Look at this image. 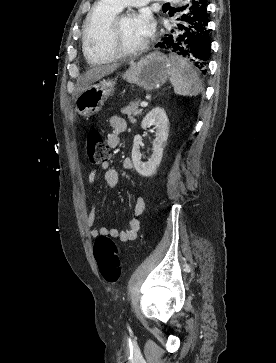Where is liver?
<instances>
[{
	"label": "liver",
	"mask_w": 276,
	"mask_h": 363,
	"mask_svg": "<svg viewBox=\"0 0 276 363\" xmlns=\"http://www.w3.org/2000/svg\"><path fill=\"white\" fill-rule=\"evenodd\" d=\"M118 67L119 64L114 63L111 65L96 66L89 69L82 78L81 86L79 88V94L86 90L92 83L113 73Z\"/></svg>",
	"instance_id": "6515ba94"
}]
</instances>
